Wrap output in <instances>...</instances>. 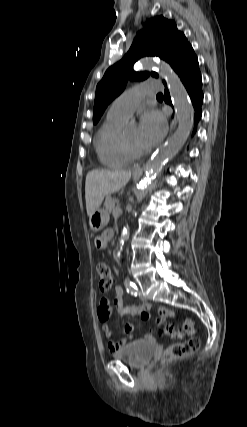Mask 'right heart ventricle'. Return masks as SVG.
<instances>
[{
	"label": "right heart ventricle",
	"instance_id": "right-heart-ventricle-1",
	"mask_svg": "<svg viewBox=\"0 0 247 427\" xmlns=\"http://www.w3.org/2000/svg\"><path fill=\"white\" fill-rule=\"evenodd\" d=\"M125 120L107 115L94 139L99 162L108 168H118L129 163L121 146V128Z\"/></svg>",
	"mask_w": 247,
	"mask_h": 427
}]
</instances>
